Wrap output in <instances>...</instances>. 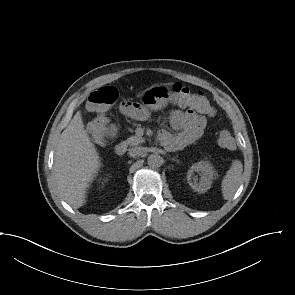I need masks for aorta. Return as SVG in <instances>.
<instances>
[{"mask_svg": "<svg viewBox=\"0 0 295 295\" xmlns=\"http://www.w3.org/2000/svg\"><path fill=\"white\" fill-rule=\"evenodd\" d=\"M148 165L156 168L163 164V158L159 154H151L147 158Z\"/></svg>", "mask_w": 295, "mask_h": 295, "instance_id": "1", "label": "aorta"}]
</instances>
